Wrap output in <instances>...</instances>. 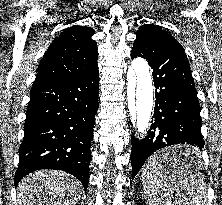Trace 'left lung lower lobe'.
<instances>
[{
    "mask_svg": "<svg viewBox=\"0 0 222 205\" xmlns=\"http://www.w3.org/2000/svg\"><path fill=\"white\" fill-rule=\"evenodd\" d=\"M131 57L148 60L153 69L155 90L154 120L147 136L132 137V175L138 173L155 151L174 144L194 145V151L175 154L172 164L187 165L199 159L204 147L199 101L186 54L178 42L137 37Z\"/></svg>",
    "mask_w": 222,
    "mask_h": 205,
    "instance_id": "left-lung-lower-lobe-1",
    "label": "left lung lower lobe"
}]
</instances>
